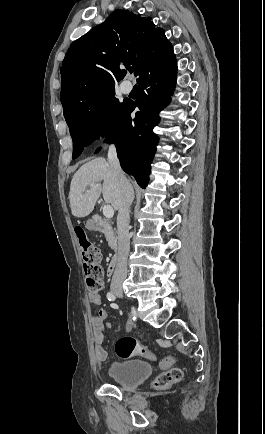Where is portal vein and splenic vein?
<instances>
[{
	"label": "portal vein and splenic vein",
	"instance_id": "18ae733b",
	"mask_svg": "<svg viewBox=\"0 0 265 434\" xmlns=\"http://www.w3.org/2000/svg\"><path fill=\"white\" fill-rule=\"evenodd\" d=\"M103 214L105 218H113L114 210L112 206H103Z\"/></svg>",
	"mask_w": 265,
	"mask_h": 434
}]
</instances>
